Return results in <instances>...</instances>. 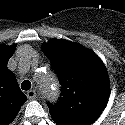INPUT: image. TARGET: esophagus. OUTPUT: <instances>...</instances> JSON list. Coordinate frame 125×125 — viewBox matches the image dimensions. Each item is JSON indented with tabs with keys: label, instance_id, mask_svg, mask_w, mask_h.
Instances as JSON below:
<instances>
[{
	"label": "esophagus",
	"instance_id": "esophagus-1",
	"mask_svg": "<svg viewBox=\"0 0 125 125\" xmlns=\"http://www.w3.org/2000/svg\"><path fill=\"white\" fill-rule=\"evenodd\" d=\"M26 96L30 100L35 99L36 98V92H35V90H29V91H27Z\"/></svg>",
	"mask_w": 125,
	"mask_h": 125
}]
</instances>
